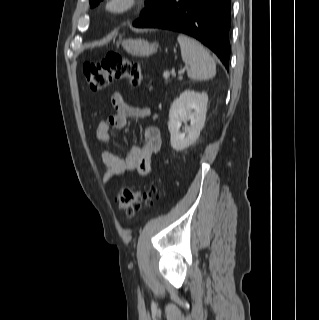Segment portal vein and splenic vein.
Segmentation results:
<instances>
[{
  "instance_id": "portal-vein-and-splenic-vein-1",
  "label": "portal vein and splenic vein",
  "mask_w": 319,
  "mask_h": 320,
  "mask_svg": "<svg viewBox=\"0 0 319 320\" xmlns=\"http://www.w3.org/2000/svg\"><path fill=\"white\" fill-rule=\"evenodd\" d=\"M175 75V74H174ZM163 77L165 78V79H168L169 77H170V73L168 72V71H165L164 73H163Z\"/></svg>"
}]
</instances>
